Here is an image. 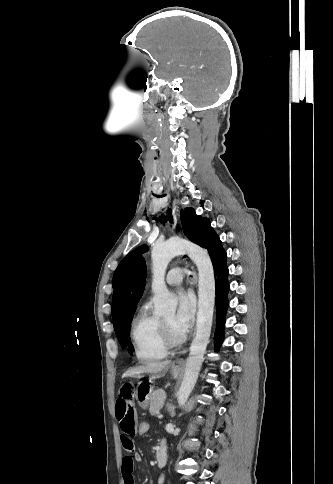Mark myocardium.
Returning a JSON list of instances; mask_svg holds the SVG:
<instances>
[{
    "label": "myocardium",
    "mask_w": 333,
    "mask_h": 484,
    "mask_svg": "<svg viewBox=\"0 0 333 484\" xmlns=\"http://www.w3.org/2000/svg\"><path fill=\"white\" fill-rule=\"evenodd\" d=\"M160 328H161V334H162L163 340L167 348L176 347L185 340L184 335L174 334L170 329L169 325L163 319H160Z\"/></svg>",
    "instance_id": "1"
}]
</instances>
